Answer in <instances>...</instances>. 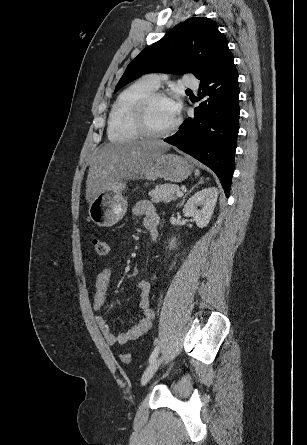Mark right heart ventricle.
I'll return each mask as SVG.
<instances>
[{"label":"right heart ventricle","mask_w":307,"mask_h":445,"mask_svg":"<svg viewBox=\"0 0 307 445\" xmlns=\"http://www.w3.org/2000/svg\"><path fill=\"white\" fill-rule=\"evenodd\" d=\"M155 88L147 81H139L125 90L115 101L109 114L110 140H143L136 108L139 102Z\"/></svg>","instance_id":"e07e8e85"}]
</instances>
